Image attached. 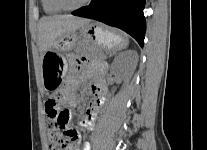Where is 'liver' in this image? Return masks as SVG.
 Returning a JSON list of instances; mask_svg holds the SVG:
<instances>
[{
	"label": "liver",
	"instance_id": "obj_1",
	"mask_svg": "<svg viewBox=\"0 0 207 150\" xmlns=\"http://www.w3.org/2000/svg\"><path fill=\"white\" fill-rule=\"evenodd\" d=\"M90 19L71 15L45 16L38 25V45L41 52L50 50L56 40L79 30L90 23Z\"/></svg>",
	"mask_w": 207,
	"mask_h": 150
}]
</instances>
